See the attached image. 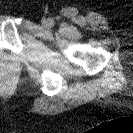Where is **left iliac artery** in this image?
<instances>
[{
	"mask_svg": "<svg viewBox=\"0 0 133 133\" xmlns=\"http://www.w3.org/2000/svg\"><path fill=\"white\" fill-rule=\"evenodd\" d=\"M49 22L51 25H53V23H54L53 19H50Z\"/></svg>",
	"mask_w": 133,
	"mask_h": 133,
	"instance_id": "1",
	"label": "left iliac artery"
}]
</instances>
